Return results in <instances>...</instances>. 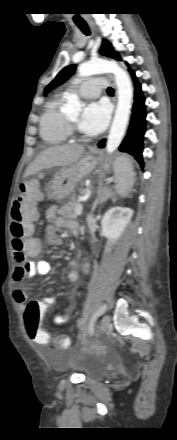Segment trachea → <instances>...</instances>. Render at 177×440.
I'll use <instances>...</instances> for the list:
<instances>
[{
	"mask_svg": "<svg viewBox=\"0 0 177 440\" xmlns=\"http://www.w3.org/2000/svg\"><path fill=\"white\" fill-rule=\"evenodd\" d=\"M76 24H77V26L81 29V31H82L84 34H86V35H90V30H89V28H88V26H87L86 23H76ZM107 92H108L109 94H113V93H114V90H113L112 88H108V89H107Z\"/></svg>",
	"mask_w": 177,
	"mask_h": 440,
	"instance_id": "trachea-1",
	"label": "trachea"
}]
</instances>
